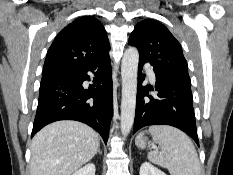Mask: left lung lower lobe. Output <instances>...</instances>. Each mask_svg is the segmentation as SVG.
Masks as SVG:
<instances>
[{
    "mask_svg": "<svg viewBox=\"0 0 233 175\" xmlns=\"http://www.w3.org/2000/svg\"><path fill=\"white\" fill-rule=\"evenodd\" d=\"M145 60L139 58L138 94L133 134L149 125H170L187 133L199 145L191 82L170 77L154 70L156 75L155 90L159 98L149 95L154 90L150 86H142L141 72Z\"/></svg>",
    "mask_w": 233,
    "mask_h": 175,
    "instance_id": "obj_1",
    "label": "left lung lower lobe"
}]
</instances>
